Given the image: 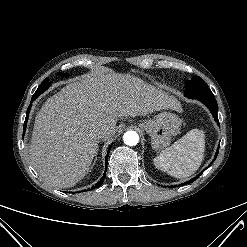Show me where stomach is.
<instances>
[{
    "label": "stomach",
    "mask_w": 247,
    "mask_h": 247,
    "mask_svg": "<svg viewBox=\"0 0 247 247\" xmlns=\"http://www.w3.org/2000/svg\"><path fill=\"white\" fill-rule=\"evenodd\" d=\"M140 128L151 137V147L154 150H163L170 145L172 136L180 131L181 120L177 115L164 111L153 119L142 122Z\"/></svg>",
    "instance_id": "obj_1"
}]
</instances>
